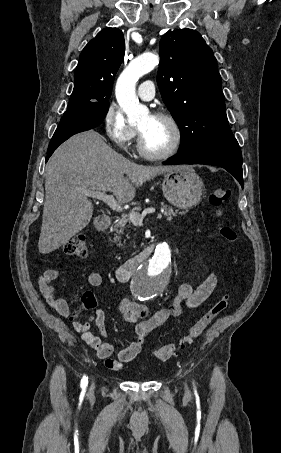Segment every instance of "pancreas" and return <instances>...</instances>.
I'll use <instances>...</instances> for the list:
<instances>
[{"instance_id":"1","label":"pancreas","mask_w":281,"mask_h":453,"mask_svg":"<svg viewBox=\"0 0 281 453\" xmlns=\"http://www.w3.org/2000/svg\"><path fill=\"white\" fill-rule=\"evenodd\" d=\"M162 208H164V212H159V214H164V216H167V220H171L172 216H177V210H173L171 206L167 208V204H162ZM137 210H141V206H134L132 208V212H137ZM127 222H130V218H120L118 222H116L114 231L120 235V233H123L124 229H126V224Z\"/></svg>"}]
</instances>
